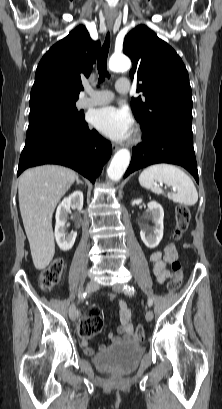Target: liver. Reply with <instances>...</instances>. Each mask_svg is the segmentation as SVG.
<instances>
[{
	"label": "liver",
	"instance_id": "6515ba94",
	"mask_svg": "<svg viewBox=\"0 0 222 409\" xmlns=\"http://www.w3.org/2000/svg\"><path fill=\"white\" fill-rule=\"evenodd\" d=\"M76 173L57 165L23 172L18 181L19 207L33 264L43 270L55 254L52 215L60 199L76 180Z\"/></svg>",
	"mask_w": 222,
	"mask_h": 409
}]
</instances>
